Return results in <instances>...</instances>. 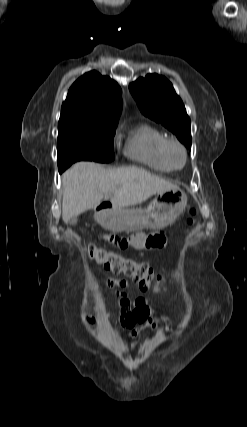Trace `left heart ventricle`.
Here are the masks:
<instances>
[{"label": "left heart ventricle", "mask_w": 247, "mask_h": 427, "mask_svg": "<svg viewBox=\"0 0 247 427\" xmlns=\"http://www.w3.org/2000/svg\"><path fill=\"white\" fill-rule=\"evenodd\" d=\"M172 157H173L175 162H180L182 159V154L178 149H174L172 151Z\"/></svg>", "instance_id": "left-heart-ventricle-1"}]
</instances>
